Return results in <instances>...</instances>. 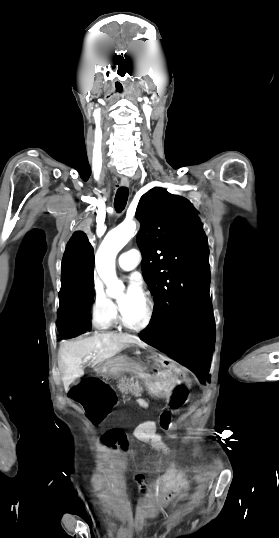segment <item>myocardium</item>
Returning <instances> with one entry per match:
<instances>
[{
  "label": "myocardium",
  "mask_w": 279,
  "mask_h": 538,
  "mask_svg": "<svg viewBox=\"0 0 279 538\" xmlns=\"http://www.w3.org/2000/svg\"><path fill=\"white\" fill-rule=\"evenodd\" d=\"M102 225H103V218H102V220H100L99 217H98L97 227H101ZM138 230H139V226L135 230V233H133L132 235L136 234ZM141 296L143 297V299L145 301V304H146V315H145L144 319L142 320V322H140L139 324H132L127 320V318L125 317V315L123 313L121 303L118 301V305H119V321L127 330H129L131 332H134V333H140V332L146 330L151 325V323L153 321V318H154L155 308H154V303H153L151 297L147 293H141Z\"/></svg>",
  "instance_id": "1"
}]
</instances>
